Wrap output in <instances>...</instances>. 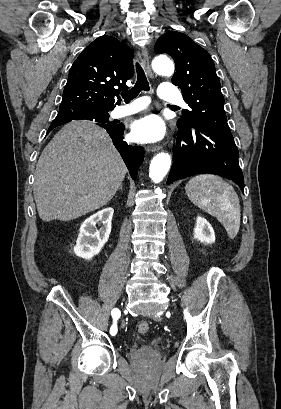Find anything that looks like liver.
<instances>
[{
  "label": "liver",
  "mask_w": 281,
  "mask_h": 409,
  "mask_svg": "<svg viewBox=\"0 0 281 409\" xmlns=\"http://www.w3.org/2000/svg\"><path fill=\"white\" fill-rule=\"evenodd\" d=\"M127 166L105 128L91 120L65 124L45 146L35 170L42 221H71L107 205Z\"/></svg>",
  "instance_id": "6515ba94"
}]
</instances>
